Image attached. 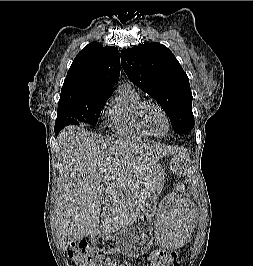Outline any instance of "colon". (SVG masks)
Instances as JSON below:
<instances>
[{
	"instance_id": "5ec220e1",
	"label": "colon",
	"mask_w": 253,
	"mask_h": 266,
	"mask_svg": "<svg viewBox=\"0 0 253 266\" xmlns=\"http://www.w3.org/2000/svg\"><path fill=\"white\" fill-rule=\"evenodd\" d=\"M70 257L79 266H127V262H120L104 255L82 240H74L70 244ZM148 266H180L178 255L169 251H154L149 258Z\"/></svg>"
}]
</instances>
